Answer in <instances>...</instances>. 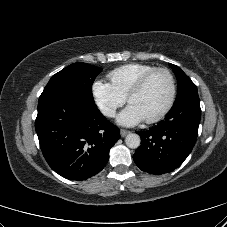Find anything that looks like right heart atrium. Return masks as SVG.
Masks as SVG:
<instances>
[{
	"mask_svg": "<svg viewBox=\"0 0 227 227\" xmlns=\"http://www.w3.org/2000/svg\"><path fill=\"white\" fill-rule=\"evenodd\" d=\"M91 91L97 107L108 117L113 116L125 102V97L119 94L110 83L103 80H95Z\"/></svg>",
	"mask_w": 227,
	"mask_h": 227,
	"instance_id": "right-heart-atrium-1",
	"label": "right heart atrium"
}]
</instances>
